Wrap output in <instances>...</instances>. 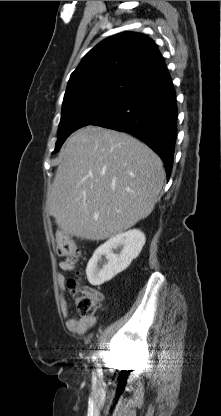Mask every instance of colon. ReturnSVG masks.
I'll list each match as a JSON object with an SVG mask.
<instances>
[{
  "label": "colon",
  "instance_id": "obj_1",
  "mask_svg": "<svg viewBox=\"0 0 221 416\" xmlns=\"http://www.w3.org/2000/svg\"><path fill=\"white\" fill-rule=\"evenodd\" d=\"M56 252L69 262H76L80 258V250L75 241L66 233L58 232L56 235ZM71 294L75 300L78 314L81 317H91L100 300V294L95 290L80 286L78 281L71 279L68 282Z\"/></svg>",
  "mask_w": 221,
  "mask_h": 416
}]
</instances>
